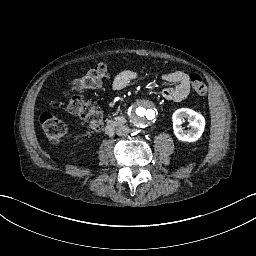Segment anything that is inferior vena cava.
Segmentation results:
<instances>
[{"mask_svg": "<svg viewBox=\"0 0 256 256\" xmlns=\"http://www.w3.org/2000/svg\"><path fill=\"white\" fill-rule=\"evenodd\" d=\"M130 133V128L126 125H119L116 128V134L118 136H126Z\"/></svg>", "mask_w": 256, "mask_h": 256, "instance_id": "inferior-vena-cava-1", "label": "inferior vena cava"}]
</instances>
